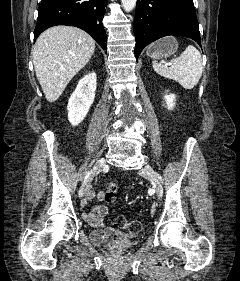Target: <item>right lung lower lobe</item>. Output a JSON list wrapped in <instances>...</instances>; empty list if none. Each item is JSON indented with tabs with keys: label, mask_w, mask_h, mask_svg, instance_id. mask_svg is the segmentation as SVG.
I'll use <instances>...</instances> for the list:
<instances>
[{
	"label": "right lung lower lobe",
	"mask_w": 240,
	"mask_h": 281,
	"mask_svg": "<svg viewBox=\"0 0 240 281\" xmlns=\"http://www.w3.org/2000/svg\"><path fill=\"white\" fill-rule=\"evenodd\" d=\"M107 2L108 0H42L34 41L49 27L69 25L86 31L106 50V31L102 19Z\"/></svg>",
	"instance_id": "98d812e1"
}]
</instances>
